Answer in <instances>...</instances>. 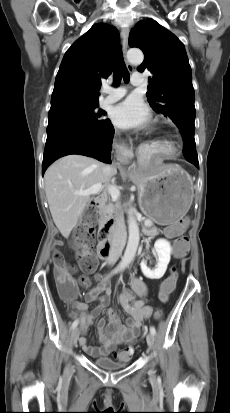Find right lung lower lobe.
Listing matches in <instances>:
<instances>
[{"mask_svg":"<svg viewBox=\"0 0 230 413\" xmlns=\"http://www.w3.org/2000/svg\"><path fill=\"white\" fill-rule=\"evenodd\" d=\"M114 127L108 124L93 131H61L47 137L42 163V174L60 157L79 154L111 163L110 151Z\"/></svg>","mask_w":230,"mask_h":413,"instance_id":"right-lung-lower-lobe-1","label":"right lung lower lobe"}]
</instances>
